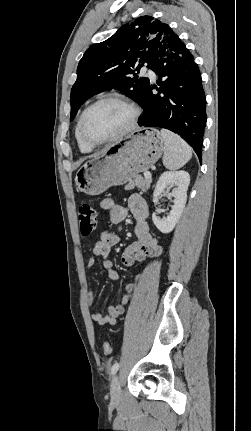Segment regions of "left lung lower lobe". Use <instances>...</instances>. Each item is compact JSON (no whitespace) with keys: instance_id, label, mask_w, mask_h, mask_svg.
<instances>
[{"instance_id":"0a47b994","label":"left lung lower lobe","mask_w":251,"mask_h":431,"mask_svg":"<svg viewBox=\"0 0 251 431\" xmlns=\"http://www.w3.org/2000/svg\"><path fill=\"white\" fill-rule=\"evenodd\" d=\"M149 68L159 77L149 85L140 103L143 115L138 125L161 127L179 134L202 160L206 125V96L194 57L174 33L158 47ZM152 89L158 93L153 94Z\"/></svg>"}]
</instances>
